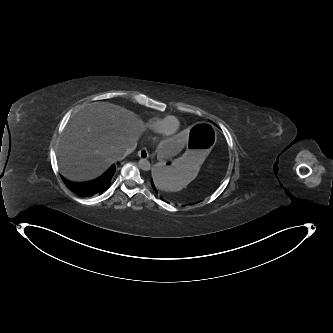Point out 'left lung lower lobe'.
I'll list each match as a JSON object with an SVG mask.
<instances>
[{
	"label": "left lung lower lobe",
	"mask_w": 333,
	"mask_h": 333,
	"mask_svg": "<svg viewBox=\"0 0 333 333\" xmlns=\"http://www.w3.org/2000/svg\"><path fill=\"white\" fill-rule=\"evenodd\" d=\"M151 185H152L154 191H155L156 193H158V190L160 189V187L157 186L156 184H154V182H153L152 180H151Z\"/></svg>",
	"instance_id": "obj_1"
}]
</instances>
